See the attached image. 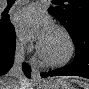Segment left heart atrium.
<instances>
[{
    "mask_svg": "<svg viewBox=\"0 0 89 89\" xmlns=\"http://www.w3.org/2000/svg\"><path fill=\"white\" fill-rule=\"evenodd\" d=\"M18 34L25 40L45 41L54 29L50 17L36 5L22 8L15 17Z\"/></svg>",
    "mask_w": 89,
    "mask_h": 89,
    "instance_id": "obj_1",
    "label": "left heart atrium"
}]
</instances>
